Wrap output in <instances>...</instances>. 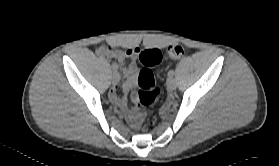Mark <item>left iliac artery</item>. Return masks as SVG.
I'll return each mask as SVG.
<instances>
[{
  "mask_svg": "<svg viewBox=\"0 0 279 166\" xmlns=\"http://www.w3.org/2000/svg\"><path fill=\"white\" fill-rule=\"evenodd\" d=\"M174 75V71L173 70H170L169 72H168V76L169 77H172Z\"/></svg>",
  "mask_w": 279,
  "mask_h": 166,
  "instance_id": "44dca946",
  "label": "left iliac artery"
}]
</instances>
